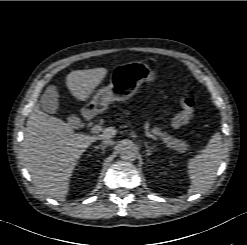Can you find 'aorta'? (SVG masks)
<instances>
[{
    "label": "aorta",
    "mask_w": 247,
    "mask_h": 245,
    "mask_svg": "<svg viewBox=\"0 0 247 245\" xmlns=\"http://www.w3.org/2000/svg\"><path fill=\"white\" fill-rule=\"evenodd\" d=\"M120 157L124 161L132 162L137 157V151L131 144L126 143L121 147Z\"/></svg>",
    "instance_id": "1"
}]
</instances>
